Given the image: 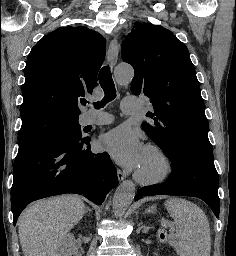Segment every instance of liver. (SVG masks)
Segmentation results:
<instances>
[{
  "label": "liver",
  "instance_id": "obj_1",
  "mask_svg": "<svg viewBox=\"0 0 236 256\" xmlns=\"http://www.w3.org/2000/svg\"><path fill=\"white\" fill-rule=\"evenodd\" d=\"M85 212V204L78 196H58L30 204L19 218L24 256H62L67 234Z\"/></svg>",
  "mask_w": 236,
  "mask_h": 256
}]
</instances>
